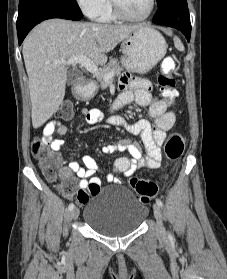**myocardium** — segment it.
Instances as JSON below:
<instances>
[{"instance_id":"obj_1","label":"myocardium","mask_w":227,"mask_h":279,"mask_svg":"<svg viewBox=\"0 0 227 279\" xmlns=\"http://www.w3.org/2000/svg\"><path fill=\"white\" fill-rule=\"evenodd\" d=\"M111 2V7L112 10L114 12V14L120 18V19H124V20H128V21H144L146 19H148L152 13L154 12L155 6H156V0H150V5H149V9L147 10V12L142 15V16H132L130 14H128L118 3L117 0H110Z\"/></svg>"}]
</instances>
